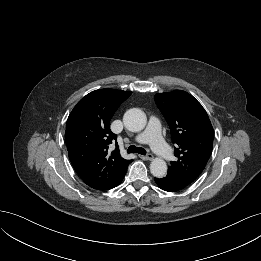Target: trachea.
I'll list each match as a JSON object with an SVG mask.
<instances>
[{"mask_svg":"<svg viewBox=\"0 0 261 261\" xmlns=\"http://www.w3.org/2000/svg\"><path fill=\"white\" fill-rule=\"evenodd\" d=\"M127 153H139L141 155H145L146 151L144 148L142 147H136L134 145L129 146V148L127 149Z\"/></svg>","mask_w":261,"mask_h":261,"instance_id":"3493384b","label":"trachea"}]
</instances>
